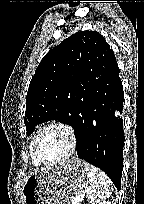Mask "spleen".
I'll return each instance as SVG.
<instances>
[{"mask_svg": "<svg viewBox=\"0 0 144 204\" xmlns=\"http://www.w3.org/2000/svg\"><path fill=\"white\" fill-rule=\"evenodd\" d=\"M89 183L85 193L92 204H99L108 198L113 190L109 177L99 168L89 165Z\"/></svg>", "mask_w": 144, "mask_h": 204, "instance_id": "obj_1", "label": "spleen"}]
</instances>
